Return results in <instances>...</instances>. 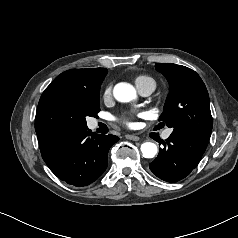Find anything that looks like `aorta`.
<instances>
[{"mask_svg":"<svg viewBox=\"0 0 238 238\" xmlns=\"http://www.w3.org/2000/svg\"><path fill=\"white\" fill-rule=\"evenodd\" d=\"M113 94L120 102H130L136 98L134 87L128 83H118L114 87ZM140 149L144 158H153L158 151L156 144L152 142L143 143Z\"/></svg>","mask_w":238,"mask_h":238,"instance_id":"762f6f07","label":"aorta"}]
</instances>
